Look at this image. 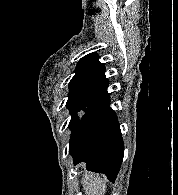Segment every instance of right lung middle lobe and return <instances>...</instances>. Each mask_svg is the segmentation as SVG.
<instances>
[{"label":"right lung middle lobe","mask_w":178,"mask_h":195,"mask_svg":"<svg viewBox=\"0 0 178 195\" xmlns=\"http://www.w3.org/2000/svg\"><path fill=\"white\" fill-rule=\"evenodd\" d=\"M96 98L97 97L94 96H69L68 97L66 107L70 110V114L72 116L71 121L69 123V128L72 131L82 121V119L80 120L79 116L77 115V112L83 109L87 113L91 109Z\"/></svg>","instance_id":"obj_1"}]
</instances>
